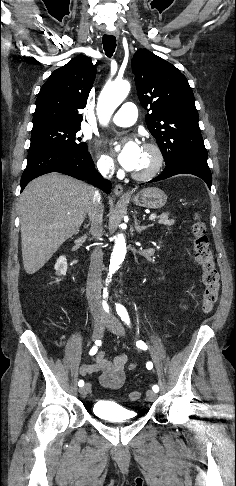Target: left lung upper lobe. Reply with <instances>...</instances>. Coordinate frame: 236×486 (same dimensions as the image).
<instances>
[{"label": "left lung upper lobe", "mask_w": 236, "mask_h": 486, "mask_svg": "<svg viewBox=\"0 0 236 486\" xmlns=\"http://www.w3.org/2000/svg\"><path fill=\"white\" fill-rule=\"evenodd\" d=\"M137 93L147 127L168 164L181 158L207 160L193 91L172 64L146 49L132 60Z\"/></svg>", "instance_id": "5c2ea615"}]
</instances>
